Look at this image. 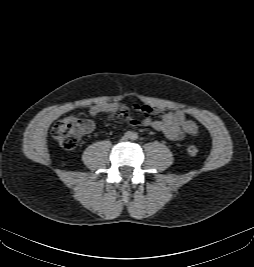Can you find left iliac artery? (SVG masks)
Wrapping results in <instances>:
<instances>
[{
  "instance_id": "obj_1",
  "label": "left iliac artery",
  "mask_w": 254,
  "mask_h": 267,
  "mask_svg": "<svg viewBox=\"0 0 254 267\" xmlns=\"http://www.w3.org/2000/svg\"><path fill=\"white\" fill-rule=\"evenodd\" d=\"M134 140H136L138 138V136L136 134L133 135L132 137Z\"/></svg>"
}]
</instances>
